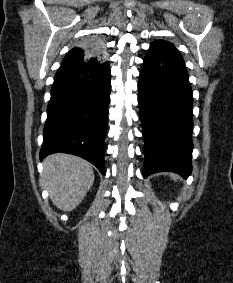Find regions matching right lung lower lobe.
<instances>
[{"label":"right lung lower lobe","instance_id":"98d812e1","mask_svg":"<svg viewBox=\"0 0 233 283\" xmlns=\"http://www.w3.org/2000/svg\"><path fill=\"white\" fill-rule=\"evenodd\" d=\"M110 89L108 62H84L58 69L47 107L40 160L56 152L70 153L104 173Z\"/></svg>","mask_w":233,"mask_h":283}]
</instances>
